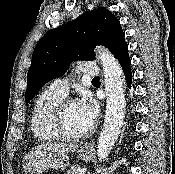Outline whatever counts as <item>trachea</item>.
I'll return each instance as SVG.
<instances>
[{
  "label": "trachea",
  "instance_id": "trachea-1",
  "mask_svg": "<svg viewBox=\"0 0 175 174\" xmlns=\"http://www.w3.org/2000/svg\"><path fill=\"white\" fill-rule=\"evenodd\" d=\"M98 80H100V77L93 78V81H98Z\"/></svg>",
  "mask_w": 175,
  "mask_h": 174
}]
</instances>
